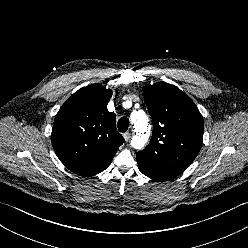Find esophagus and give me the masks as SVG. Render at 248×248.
Returning a JSON list of instances; mask_svg holds the SVG:
<instances>
[{
    "mask_svg": "<svg viewBox=\"0 0 248 248\" xmlns=\"http://www.w3.org/2000/svg\"><path fill=\"white\" fill-rule=\"evenodd\" d=\"M123 137L126 141H128L131 138V134L129 132H126L123 134Z\"/></svg>",
    "mask_w": 248,
    "mask_h": 248,
    "instance_id": "esophagus-1",
    "label": "esophagus"
}]
</instances>
